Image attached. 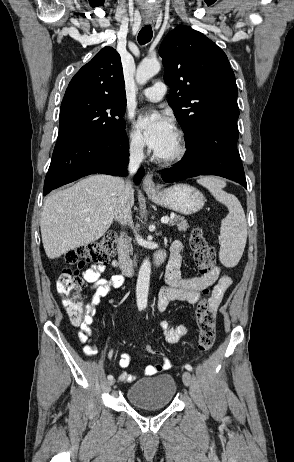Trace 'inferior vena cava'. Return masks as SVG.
<instances>
[{
    "instance_id": "inferior-vena-cava-1",
    "label": "inferior vena cava",
    "mask_w": 294,
    "mask_h": 462,
    "mask_svg": "<svg viewBox=\"0 0 294 462\" xmlns=\"http://www.w3.org/2000/svg\"><path fill=\"white\" fill-rule=\"evenodd\" d=\"M144 144L141 141L132 142L129 149V177L123 182V189L119 195L114 211V219L122 225L131 224V206L133 202L132 177L144 159Z\"/></svg>"
}]
</instances>
